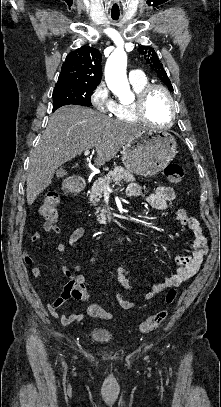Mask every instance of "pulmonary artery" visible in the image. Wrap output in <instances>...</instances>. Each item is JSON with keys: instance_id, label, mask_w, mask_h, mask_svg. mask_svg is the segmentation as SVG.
<instances>
[{"instance_id": "obj_1", "label": "pulmonary artery", "mask_w": 221, "mask_h": 407, "mask_svg": "<svg viewBox=\"0 0 221 407\" xmlns=\"http://www.w3.org/2000/svg\"><path fill=\"white\" fill-rule=\"evenodd\" d=\"M144 78V73L140 69H133L129 72L130 81H138Z\"/></svg>"}]
</instances>
